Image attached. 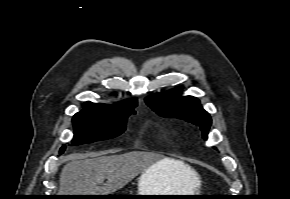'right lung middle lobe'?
Instances as JSON below:
<instances>
[{
    "mask_svg": "<svg viewBox=\"0 0 290 199\" xmlns=\"http://www.w3.org/2000/svg\"><path fill=\"white\" fill-rule=\"evenodd\" d=\"M130 114L94 115L77 113L73 117L74 138L72 144L79 145L114 138L126 129ZM62 146L59 153L65 150Z\"/></svg>",
    "mask_w": 290,
    "mask_h": 199,
    "instance_id": "1",
    "label": "right lung middle lobe"
}]
</instances>
